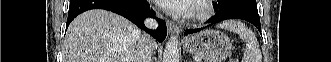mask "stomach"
<instances>
[{
  "instance_id": "obj_1",
  "label": "stomach",
  "mask_w": 331,
  "mask_h": 62,
  "mask_svg": "<svg viewBox=\"0 0 331 62\" xmlns=\"http://www.w3.org/2000/svg\"><path fill=\"white\" fill-rule=\"evenodd\" d=\"M187 52L200 56L205 62H223L230 54L232 43L217 30H204L189 37L184 44Z\"/></svg>"
}]
</instances>
